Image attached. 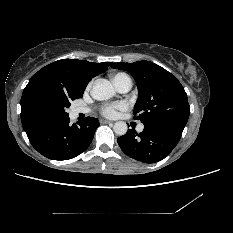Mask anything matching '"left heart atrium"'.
I'll return each instance as SVG.
<instances>
[{
    "label": "left heart atrium",
    "instance_id": "1",
    "mask_svg": "<svg viewBox=\"0 0 233 233\" xmlns=\"http://www.w3.org/2000/svg\"><path fill=\"white\" fill-rule=\"evenodd\" d=\"M127 109L125 102H117L115 104L106 105L102 108V114L108 118H114L119 115L120 112Z\"/></svg>",
    "mask_w": 233,
    "mask_h": 233
}]
</instances>
